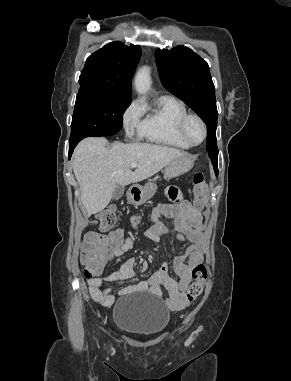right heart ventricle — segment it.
Instances as JSON below:
<instances>
[{
  "label": "right heart ventricle",
  "instance_id": "obj_1",
  "mask_svg": "<svg viewBox=\"0 0 291 381\" xmlns=\"http://www.w3.org/2000/svg\"><path fill=\"white\" fill-rule=\"evenodd\" d=\"M143 115L137 129L139 136L167 147L189 149L181 136L179 123L188 114L185 104L171 96L160 97L151 108H141Z\"/></svg>",
  "mask_w": 291,
  "mask_h": 381
}]
</instances>
